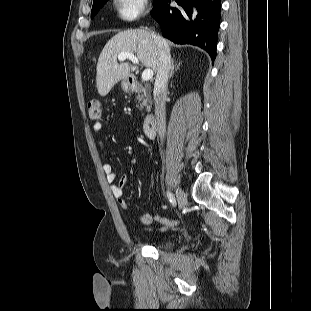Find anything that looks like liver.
<instances>
[{
  "label": "liver",
  "instance_id": "liver-1",
  "mask_svg": "<svg viewBox=\"0 0 311 311\" xmlns=\"http://www.w3.org/2000/svg\"><path fill=\"white\" fill-rule=\"evenodd\" d=\"M168 47L172 46L165 40ZM122 52H130L137 55L141 63L156 72L158 64V52L152 34L143 29H133L119 32L104 46L96 67V83L98 93L104 97L120 80L130 76V72L137 69L136 65L128 62L118 63L117 57Z\"/></svg>",
  "mask_w": 311,
  "mask_h": 311
}]
</instances>
